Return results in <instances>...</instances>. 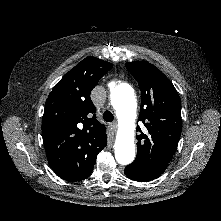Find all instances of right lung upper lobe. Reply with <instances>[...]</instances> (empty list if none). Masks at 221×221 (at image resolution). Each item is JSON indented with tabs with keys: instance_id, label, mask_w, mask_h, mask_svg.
Here are the masks:
<instances>
[{
	"instance_id": "1",
	"label": "right lung upper lobe",
	"mask_w": 221,
	"mask_h": 221,
	"mask_svg": "<svg viewBox=\"0 0 221 221\" xmlns=\"http://www.w3.org/2000/svg\"><path fill=\"white\" fill-rule=\"evenodd\" d=\"M112 64L87 57L53 88L45 103L42 133L48 162L67 181L88 177L106 146L104 125L96 119L90 93Z\"/></svg>"
}]
</instances>
